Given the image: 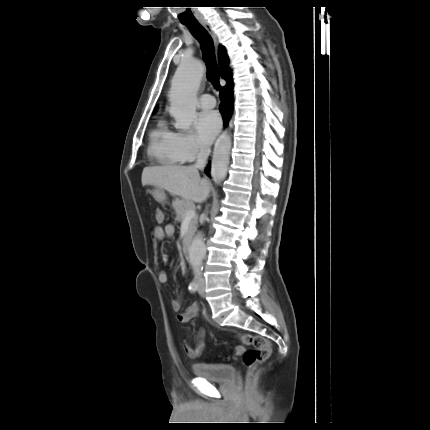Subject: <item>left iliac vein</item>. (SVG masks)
Returning <instances> with one entry per match:
<instances>
[{
	"label": "left iliac vein",
	"mask_w": 430,
	"mask_h": 430,
	"mask_svg": "<svg viewBox=\"0 0 430 430\" xmlns=\"http://www.w3.org/2000/svg\"><path fill=\"white\" fill-rule=\"evenodd\" d=\"M199 286H198V293L201 295V296H204V294H205V280L203 279V278H201L200 280H199V284H198Z\"/></svg>",
	"instance_id": "1"
}]
</instances>
